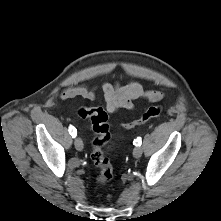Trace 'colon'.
I'll return each mask as SVG.
<instances>
[{
	"instance_id": "1",
	"label": "colon",
	"mask_w": 221,
	"mask_h": 221,
	"mask_svg": "<svg viewBox=\"0 0 221 221\" xmlns=\"http://www.w3.org/2000/svg\"><path fill=\"white\" fill-rule=\"evenodd\" d=\"M163 108L160 105H154L146 109L140 117L123 124L126 129L133 128L143 124L151 119L158 118L162 114ZM80 118H88L91 121L95 137L92 141L91 159L99 168L96 176V183L104 185L113 178V168L107 157H105L103 148L110 141L111 133L108 124V114L103 108L82 107L78 110Z\"/></svg>"
}]
</instances>
